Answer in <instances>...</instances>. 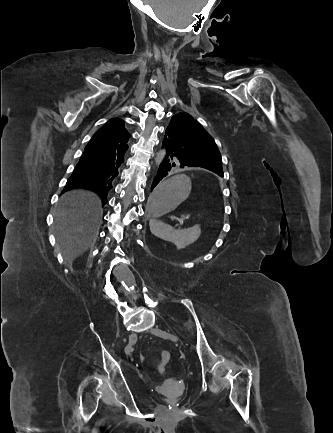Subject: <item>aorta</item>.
<instances>
[{
    "instance_id": "762f6f07",
    "label": "aorta",
    "mask_w": 333,
    "mask_h": 433,
    "mask_svg": "<svg viewBox=\"0 0 333 433\" xmlns=\"http://www.w3.org/2000/svg\"><path fill=\"white\" fill-rule=\"evenodd\" d=\"M164 155H165V149L160 150V151L156 154V157H155V164H156V165H159V164L162 162V160H163V158H164Z\"/></svg>"
}]
</instances>
